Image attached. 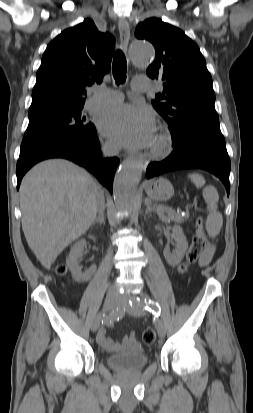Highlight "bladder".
<instances>
[{
  "mask_svg": "<svg viewBox=\"0 0 253 413\" xmlns=\"http://www.w3.org/2000/svg\"><path fill=\"white\" fill-rule=\"evenodd\" d=\"M107 365L118 371L128 372L144 368L148 363V357L142 348L133 351L115 353L106 357Z\"/></svg>",
  "mask_w": 253,
  "mask_h": 413,
  "instance_id": "1",
  "label": "bladder"
}]
</instances>
